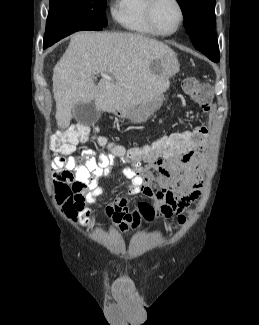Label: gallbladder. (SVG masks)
Here are the masks:
<instances>
[{
  "instance_id": "bac80fb5",
  "label": "gallbladder",
  "mask_w": 259,
  "mask_h": 325,
  "mask_svg": "<svg viewBox=\"0 0 259 325\" xmlns=\"http://www.w3.org/2000/svg\"><path fill=\"white\" fill-rule=\"evenodd\" d=\"M73 116L87 124L94 125L99 120V113L95 108L94 103L79 102L72 110Z\"/></svg>"
}]
</instances>
